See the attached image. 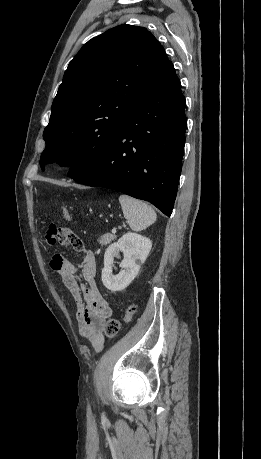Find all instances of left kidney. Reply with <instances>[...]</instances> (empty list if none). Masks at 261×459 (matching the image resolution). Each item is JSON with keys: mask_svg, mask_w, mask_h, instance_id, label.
I'll return each mask as SVG.
<instances>
[{"mask_svg": "<svg viewBox=\"0 0 261 459\" xmlns=\"http://www.w3.org/2000/svg\"><path fill=\"white\" fill-rule=\"evenodd\" d=\"M152 242L149 238L137 233L128 232L117 242L111 244L104 254V268L102 269L103 285L112 292L124 290L137 276L151 250ZM123 252L124 258L120 263L121 271L113 275L114 257Z\"/></svg>", "mask_w": 261, "mask_h": 459, "instance_id": "1", "label": "left kidney"}]
</instances>
